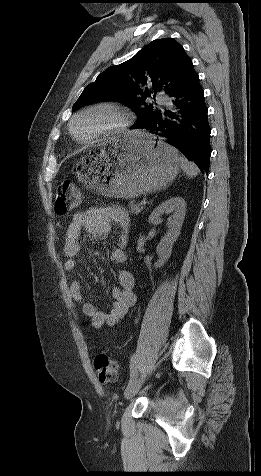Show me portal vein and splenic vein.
Masks as SVG:
<instances>
[{"label": "portal vein and splenic vein", "mask_w": 261, "mask_h": 476, "mask_svg": "<svg viewBox=\"0 0 261 476\" xmlns=\"http://www.w3.org/2000/svg\"><path fill=\"white\" fill-rule=\"evenodd\" d=\"M146 203H147L146 200H142V201L140 202L141 205H145Z\"/></svg>", "instance_id": "1"}]
</instances>
